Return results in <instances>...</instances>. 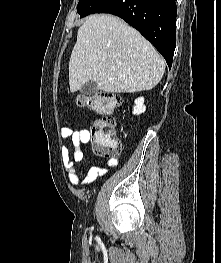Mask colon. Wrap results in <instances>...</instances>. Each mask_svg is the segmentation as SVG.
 <instances>
[{
    "label": "colon",
    "mask_w": 221,
    "mask_h": 263,
    "mask_svg": "<svg viewBox=\"0 0 221 263\" xmlns=\"http://www.w3.org/2000/svg\"><path fill=\"white\" fill-rule=\"evenodd\" d=\"M77 105L81 108L102 114L90 130V140L94 151L101 157L113 159L120 155V143L115 134L114 110L122 103L121 97L113 93L78 95Z\"/></svg>",
    "instance_id": "1"
}]
</instances>
